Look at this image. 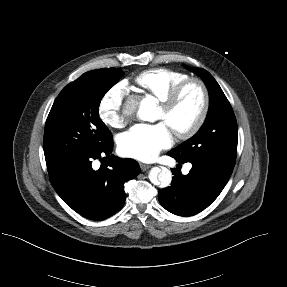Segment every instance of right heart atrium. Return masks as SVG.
<instances>
[{
	"instance_id": "d8ad5b80",
	"label": "right heart atrium",
	"mask_w": 287,
	"mask_h": 287,
	"mask_svg": "<svg viewBox=\"0 0 287 287\" xmlns=\"http://www.w3.org/2000/svg\"><path fill=\"white\" fill-rule=\"evenodd\" d=\"M128 94L126 83L119 82L112 86L100 99L98 116L100 120L111 128H121L125 124L123 113L124 100Z\"/></svg>"
}]
</instances>
